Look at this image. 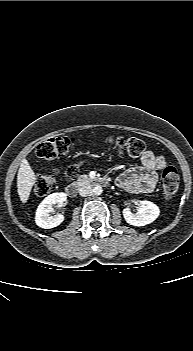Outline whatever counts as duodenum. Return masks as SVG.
<instances>
[{"label":"duodenum","instance_id":"obj_1","mask_svg":"<svg viewBox=\"0 0 193 351\" xmlns=\"http://www.w3.org/2000/svg\"><path fill=\"white\" fill-rule=\"evenodd\" d=\"M92 181L103 185L107 184V180L104 178L95 177ZM66 193L69 197H75L78 194V185L76 183L69 184L66 187Z\"/></svg>","mask_w":193,"mask_h":351}]
</instances>
